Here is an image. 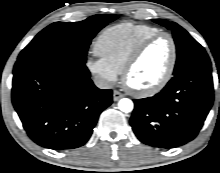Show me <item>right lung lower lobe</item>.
Returning <instances> with one entry per match:
<instances>
[{
    "instance_id": "obj_1",
    "label": "right lung lower lobe",
    "mask_w": 220,
    "mask_h": 173,
    "mask_svg": "<svg viewBox=\"0 0 220 173\" xmlns=\"http://www.w3.org/2000/svg\"><path fill=\"white\" fill-rule=\"evenodd\" d=\"M12 102L28 136L38 145L66 150L83 146L112 90L98 89L85 62L64 52L18 59Z\"/></svg>"
}]
</instances>
